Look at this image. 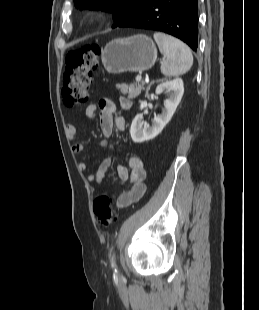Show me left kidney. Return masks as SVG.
<instances>
[{
	"label": "left kidney",
	"mask_w": 259,
	"mask_h": 310,
	"mask_svg": "<svg viewBox=\"0 0 259 310\" xmlns=\"http://www.w3.org/2000/svg\"><path fill=\"white\" fill-rule=\"evenodd\" d=\"M164 91L169 92V98L164 101L165 108L162 113L154 116L151 126L144 122L141 113L135 116L130 128V135L133 142L142 143L155 138L161 133L167 123L171 120L181 101L184 93L183 80L181 78H176L172 81L159 84L156 88V94H160ZM146 107L147 102H142L140 109L142 110Z\"/></svg>",
	"instance_id": "5707ae66"
}]
</instances>
